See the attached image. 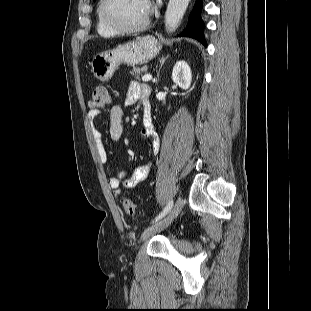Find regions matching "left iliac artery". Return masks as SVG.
<instances>
[{"label": "left iliac artery", "instance_id": "44dca946", "mask_svg": "<svg viewBox=\"0 0 311 311\" xmlns=\"http://www.w3.org/2000/svg\"><path fill=\"white\" fill-rule=\"evenodd\" d=\"M173 207V200H170L163 211L154 219L155 222L163 218ZM153 221V222H154Z\"/></svg>", "mask_w": 311, "mask_h": 311}]
</instances>
